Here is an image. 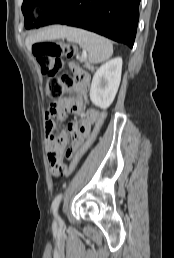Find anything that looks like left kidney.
Wrapping results in <instances>:
<instances>
[{"instance_id":"1","label":"left kidney","mask_w":174,"mask_h":258,"mask_svg":"<svg viewBox=\"0 0 174 258\" xmlns=\"http://www.w3.org/2000/svg\"><path fill=\"white\" fill-rule=\"evenodd\" d=\"M122 72V58L107 61L95 72L91 88L90 100L101 109L108 108L118 91Z\"/></svg>"}]
</instances>
